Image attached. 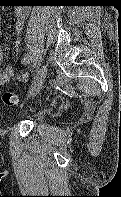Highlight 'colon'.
Listing matches in <instances>:
<instances>
[{"instance_id": "5ec220e1", "label": "colon", "mask_w": 121, "mask_h": 197, "mask_svg": "<svg viewBox=\"0 0 121 197\" xmlns=\"http://www.w3.org/2000/svg\"><path fill=\"white\" fill-rule=\"evenodd\" d=\"M2 101L7 106H14L18 103V98L12 92H4L2 95Z\"/></svg>"}]
</instances>
